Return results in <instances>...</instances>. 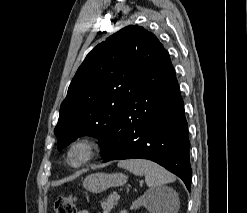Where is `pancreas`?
<instances>
[{
    "label": "pancreas",
    "instance_id": "pancreas-1",
    "mask_svg": "<svg viewBox=\"0 0 247 213\" xmlns=\"http://www.w3.org/2000/svg\"><path fill=\"white\" fill-rule=\"evenodd\" d=\"M119 198H116L114 194H111L107 199L101 202L103 213H109L115 205L118 204Z\"/></svg>",
    "mask_w": 247,
    "mask_h": 213
}]
</instances>
